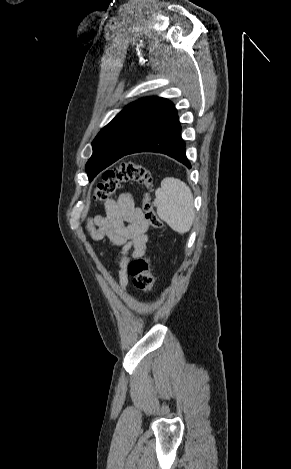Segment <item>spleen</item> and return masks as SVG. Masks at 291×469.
<instances>
[{
	"label": "spleen",
	"mask_w": 291,
	"mask_h": 469,
	"mask_svg": "<svg viewBox=\"0 0 291 469\" xmlns=\"http://www.w3.org/2000/svg\"><path fill=\"white\" fill-rule=\"evenodd\" d=\"M154 205L161 220L180 234L192 227L195 209L191 189L181 180L168 177L155 191Z\"/></svg>",
	"instance_id": "spleen-1"
}]
</instances>
